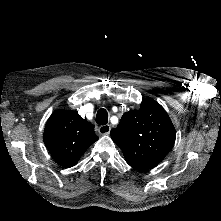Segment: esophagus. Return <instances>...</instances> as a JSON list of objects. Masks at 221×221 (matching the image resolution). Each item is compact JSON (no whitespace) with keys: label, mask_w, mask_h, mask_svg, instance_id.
I'll return each mask as SVG.
<instances>
[{"label":"esophagus","mask_w":221,"mask_h":221,"mask_svg":"<svg viewBox=\"0 0 221 221\" xmlns=\"http://www.w3.org/2000/svg\"><path fill=\"white\" fill-rule=\"evenodd\" d=\"M110 131H111V126L109 124L101 125L98 127V133L100 135H108Z\"/></svg>","instance_id":"34e87169"}]
</instances>
